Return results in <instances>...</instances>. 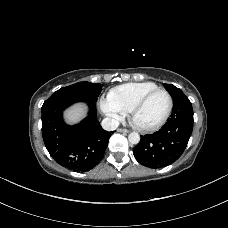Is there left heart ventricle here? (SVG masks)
Wrapping results in <instances>:
<instances>
[{"label": "left heart ventricle", "instance_id": "1", "mask_svg": "<svg viewBox=\"0 0 228 228\" xmlns=\"http://www.w3.org/2000/svg\"><path fill=\"white\" fill-rule=\"evenodd\" d=\"M167 106V95L163 92H158L136 112L135 122L141 126H151L163 117Z\"/></svg>", "mask_w": 228, "mask_h": 228}]
</instances>
